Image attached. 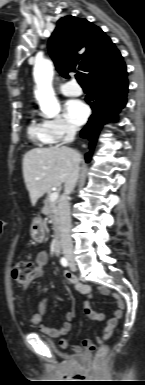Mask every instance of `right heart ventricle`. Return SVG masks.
<instances>
[{"instance_id":"right-heart-ventricle-1","label":"right heart ventricle","mask_w":145,"mask_h":385,"mask_svg":"<svg viewBox=\"0 0 145 385\" xmlns=\"http://www.w3.org/2000/svg\"><path fill=\"white\" fill-rule=\"evenodd\" d=\"M28 135L29 137L38 144H49V136L45 129L44 122H37L35 119H32L28 125Z\"/></svg>"}]
</instances>
